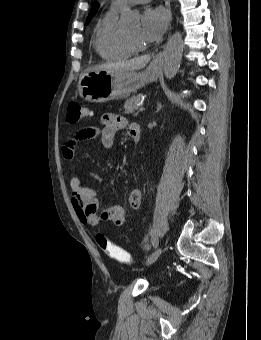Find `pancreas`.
<instances>
[{"label":"pancreas","instance_id":"cf45deb5","mask_svg":"<svg viewBox=\"0 0 261 340\" xmlns=\"http://www.w3.org/2000/svg\"><path fill=\"white\" fill-rule=\"evenodd\" d=\"M141 98L142 94H138L127 99L124 104L125 113L137 116L138 112H136V110L138 109V103L141 101Z\"/></svg>","mask_w":261,"mask_h":340}]
</instances>
